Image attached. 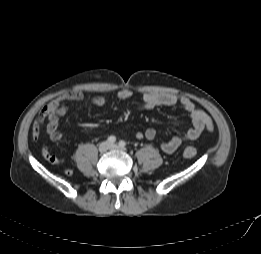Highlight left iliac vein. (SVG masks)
I'll return each instance as SVG.
<instances>
[{
  "label": "left iliac vein",
  "mask_w": 261,
  "mask_h": 254,
  "mask_svg": "<svg viewBox=\"0 0 261 254\" xmlns=\"http://www.w3.org/2000/svg\"><path fill=\"white\" fill-rule=\"evenodd\" d=\"M110 149H124V148L121 147V146L118 145V144H111V145H110Z\"/></svg>",
  "instance_id": "4c4485c4"
}]
</instances>
